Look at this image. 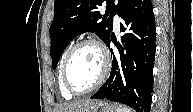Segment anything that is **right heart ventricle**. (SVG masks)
<instances>
[{
	"mask_svg": "<svg viewBox=\"0 0 193 112\" xmlns=\"http://www.w3.org/2000/svg\"><path fill=\"white\" fill-rule=\"evenodd\" d=\"M70 49V46L66 47L59 59V64H58V86H59V92L61 94V96L65 99H71L72 95L66 90L64 83H63V79H62V66H63V62L65 59V56L68 52V50Z\"/></svg>",
	"mask_w": 193,
	"mask_h": 112,
	"instance_id": "obj_1",
	"label": "right heart ventricle"
}]
</instances>
